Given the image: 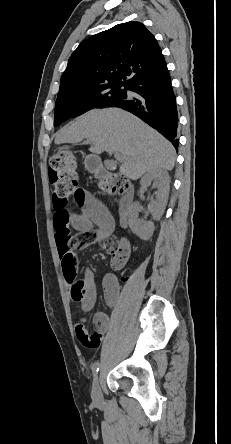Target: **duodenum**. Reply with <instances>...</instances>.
<instances>
[{
  "label": "duodenum",
  "instance_id": "410a0bca",
  "mask_svg": "<svg viewBox=\"0 0 231 444\" xmlns=\"http://www.w3.org/2000/svg\"><path fill=\"white\" fill-rule=\"evenodd\" d=\"M98 174H99V176H101L103 178L111 177V173L108 172L107 170H105L104 168H101L98 171ZM133 199H134L133 190L131 188H128L120 201V210H121V215L123 217L124 224H127L126 219H127L129 212L131 210V207L133 204Z\"/></svg>",
  "mask_w": 231,
  "mask_h": 444
}]
</instances>
